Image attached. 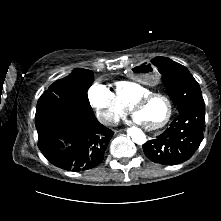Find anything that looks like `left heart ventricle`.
I'll use <instances>...</instances> for the list:
<instances>
[{
    "label": "left heart ventricle",
    "mask_w": 221,
    "mask_h": 221,
    "mask_svg": "<svg viewBox=\"0 0 221 221\" xmlns=\"http://www.w3.org/2000/svg\"><path fill=\"white\" fill-rule=\"evenodd\" d=\"M168 113L167 102L156 97L147 102L146 105L141 107L136 112V117H138L142 123L146 125H155L161 122Z\"/></svg>",
    "instance_id": "left-heart-ventricle-1"
}]
</instances>
